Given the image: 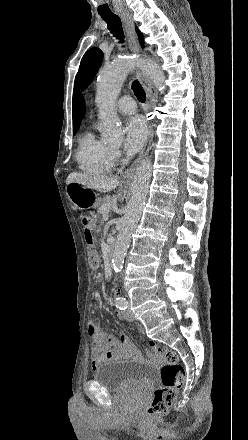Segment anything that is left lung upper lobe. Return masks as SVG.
<instances>
[{"instance_id":"1","label":"left lung upper lobe","mask_w":248,"mask_h":440,"mask_svg":"<svg viewBox=\"0 0 248 440\" xmlns=\"http://www.w3.org/2000/svg\"><path fill=\"white\" fill-rule=\"evenodd\" d=\"M102 58L103 52L99 48L88 50L81 60L75 83L85 89L94 79L102 63Z\"/></svg>"}]
</instances>
